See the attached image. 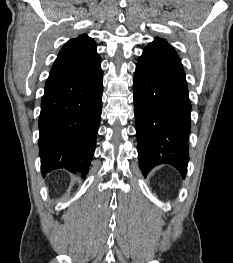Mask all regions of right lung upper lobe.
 Returning a JSON list of instances; mask_svg holds the SVG:
<instances>
[{
    "instance_id": "obj_1",
    "label": "right lung upper lobe",
    "mask_w": 233,
    "mask_h": 263,
    "mask_svg": "<svg viewBox=\"0 0 233 263\" xmlns=\"http://www.w3.org/2000/svg\"><path fill=\"white\" fill-rule=\"evenodd\" d=\"M99 59L95 41L83 34L62 47L50 75L84 74L93 69Z\"/></svg>"
}]
</instances>
